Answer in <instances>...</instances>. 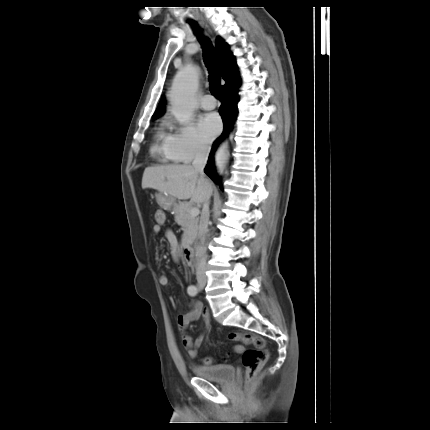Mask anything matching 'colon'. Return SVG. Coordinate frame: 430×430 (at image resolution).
Listing matches in <instances>:
<instances>
[{
  "label": "colon",
  "instance_id": "1",
  "mask_svg": "<svg viewBox=\"0 0 430 430\" xmlns=\"http://www.w3.org/2000/svg\"><path fill=\"white\" fill-rule=\"evenodd\" d=\"M154 217L157 225H161L164 222L165 215L161 210H156ZM228 338L231 341H241L246 345L252 346L246 350L235 348L236 352L242 353V362L245 367V380L247 384H251L258 376V373L268 358V352L265 349V341L262 337L249 332H230ZM204 363L212 364V359L205 358Z\"/></svg>",
  "mask_w": 430,
  "mask_h": 430
}]
</instances>
